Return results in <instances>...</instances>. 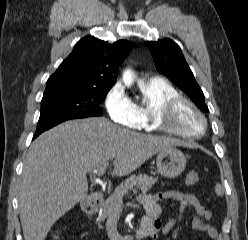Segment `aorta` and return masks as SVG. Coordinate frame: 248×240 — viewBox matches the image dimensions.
<instances>
[{
    "label": "aorta",
    "instance_id": "1",
    "mask_svg": "<svg viewBox=\"0 0 248 240\" xmlns=\"http://www.w3.org/2000/svg\"><path fill=\"white\" fill-rule=\"evenodd\" d=\"M133 71L131 69H126L123 72V82L125 85H130L133 81Z\"/></svg>",
    "mask_w": 248,
    "mask_h": 240
}]
</instances>
